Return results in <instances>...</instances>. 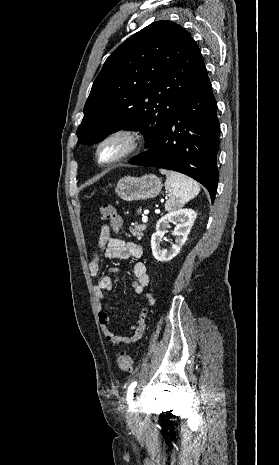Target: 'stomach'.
Returning <instances> with one entry per match:
<instances>
[{
    "label": "stomach",
    "instance_id": "stomach-1",
    "mask_svg": "<svg viewBox=\"0 0 279 465\" xmlns=\"http://www.w3.org/2000/svg\"><path fill=\"white\" fill-rule=\"evenodd\" d=\"M161 188V180L149 174L142 177L125 176L118 181L115 191L121 199L133 201L154 198Z\"/></svg>",
    "mask_w": 279,
    "mask_h": 465
}]
</instances>
